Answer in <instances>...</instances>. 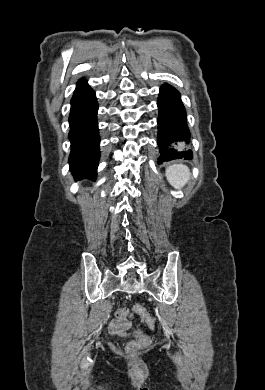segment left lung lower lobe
<instances>
[{
  "mask_svg": "<svg viewBox=\"0 0 265 390\" xmlns=\"http://www.w3.org/2000/svg\"><path fill=\"white\" fill-rule=\"evenodd\" d=\"M158 109V163L192 159V151L188 148L190 131L180 93L174 87L164 84L160 88Z\"/></svg>",
  "mask_w": 265,
  "mask_h": 390,
  "instance_id": "1",
  "label": "left lung lower lobe"
}]
</instances>
